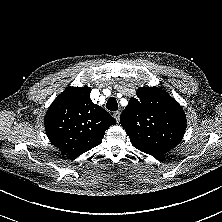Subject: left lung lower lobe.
Here are the masks:
<instances>
[{
	"mask_svg": "<svg viewBox=\"0 0 222 222\" xmlns=\"http://www.w3.org/2000/svg\"><path fill=\"white\" fill-rule=\"evenodd\" d=\"M144 153H147L149 155L155 156V157H159L161 155H163L164 153L168 152V150H144V149H138Z\"/></svg>",
	"mask_w": 222,
	"mask_h": 222,
	"instance_id": "left-lung-lower-lobe-1",
	"label": "left lung lower lobe"
}]
</instances>
